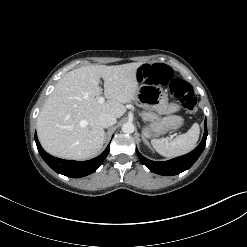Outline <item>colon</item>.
<instances>
[{
    "mask_svg": "<svg viewBox=\"0 0 247 247\" xmlns=\"http://www.w3.org/2000/svg\"><path fill=\"white\" fill-rule=\"evenodd\" d=\"M140 81L150 84L168 85L173 97L178 99L187 113L193 114L197 110V98L189 83L176 78L172 69L161 63L144 64L137 71Z\"/></svg>",
    "mask_w": 247,
    "mask_h": 247,
    "instance_id": "obj_1",
    "label": "colon"
}]
</instances>
